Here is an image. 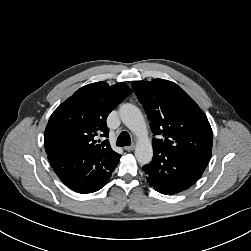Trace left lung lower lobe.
<instances>
[{"label": "left lung lower lobe", "instance_id": "1", "mask_svg": "<svg viewBox=\"0 0 251 251\" xmlns=\"http://www.w3.org/2000/svg\"><path fill=\"white\" fill-rule=\"evenodd\" d=\"M152 161L142 167L147 180L162 194H176L192 186L209 160L168 150L153 149Z\"/></svg>", "mask_w": 251, "mask_h": 251}]
</instances>
